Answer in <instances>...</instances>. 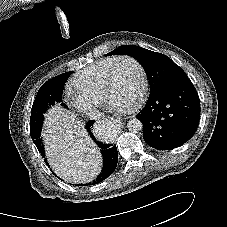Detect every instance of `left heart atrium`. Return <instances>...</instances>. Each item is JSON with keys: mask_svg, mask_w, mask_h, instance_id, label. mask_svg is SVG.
<instances>
[{"mask_svg": "<svg viewBox=\"0 0 227 227\" xmlns=\"http://www.w3.org/2000/svg\"><path fill=\"white\" fill-rule=\"evenodd\" d=\"M112 108L116 111H123L125 109H128V106L112 105Z\"/></svg>", "mask_w": 227, "mask_h": 227, "instance_id": "39dd6f15", "label": "left heart atrium"}]
</instances>
